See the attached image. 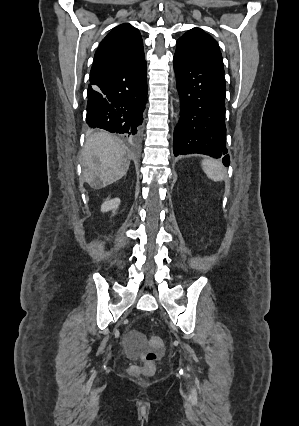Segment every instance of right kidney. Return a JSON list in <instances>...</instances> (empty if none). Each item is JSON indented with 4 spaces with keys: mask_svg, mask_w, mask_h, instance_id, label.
Listing matches in <instances>:
<instances>
[{
    "mask_svg": "<svg viewBox=\"0 0 299 426\" xmlns=\"http://www.w3.org/2000/svg\"><path fill=\"white\" fill-rule=\"evenodd\" d=\"M119 205H120V199L119 198H113L111 200L105 201L101 205V211L102 212H108V211L112 210V212L115 213V211L118 209Z\"/></svg>",
    "mask_w": 299,
    "mask_h": 426,
    "instance_id": "right-kidney-1",
    "label": "right kidney"
}]
</instances>
